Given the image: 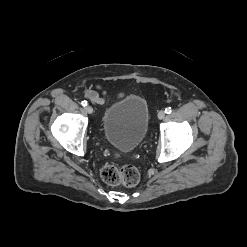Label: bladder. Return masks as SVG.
<instances>
[{"mask_svg":"<svg viewBox=\"0 0 247 247\" xmlns=\"http://www.w3.org/2000/svg\"><path fill=\"white\" fill-rule=\"evenodd\" d=\"M148 125V104L138 95H128L115 102L102 117L105 139L122 152H131L142 143Z\"/></svg>","mask_w":247,"mask_h":247,"instance_id":"31cf9c89","label":"bladder"}]
</instances>
